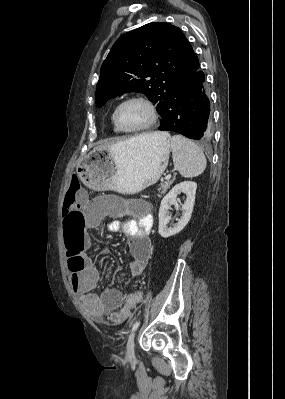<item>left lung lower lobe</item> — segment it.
Masks as SVG:
<instances>
[{
  "label": "left lung lower lobe",
  "mask_w": 285,
  "mask_h": 399,
  "mask_svg": "<svg viewBox=\"0 0 285 399\" xmlns=\"http://www.w3.org/2000/svg\"><path fill=\"white\" fill-rule=\"evenodd\" d=\"M204 81V73L198 64L177 83L159 130L177 132L195 140L211 137L210 101Z\"/></svg>",
  "instance_id": "1"
}]
</instances>
